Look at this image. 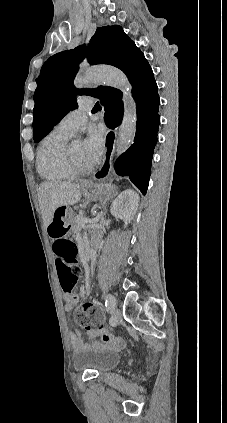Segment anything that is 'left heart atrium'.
Returning a JSON list of instances; mask_svg holds the SVG:
<instances>
[{
	"instance_id": "obj_1",
	"label": "left heart atrium",
	"mask_w": 227,
	"mask_h": 423,
	"mask_svg": "<svg viewBox=\"0 0 227 423\" xmlns=\"http://www.w3.org/2000/svg\"><path fill=\"white\" fill-rule=\"evenodd\" d=\"M106 132L103 128L93 127L88 132L84 142V156L89 166L95 165L100 160L104 151Z\"/></svg>"
}]
</instances>
